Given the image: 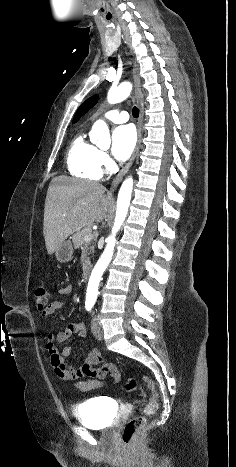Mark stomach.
Instances as JSON below:
<instances>
[{
    "label": "stomach",
    "mask_w": 236,
    "mask_h": 467,
    "mask_svg": "<svg viewBox=\"0 0 236 467\" xmlns=\"http://www.w3.org/2000/svg\"><path fill=\"white\" fill-rule=\"evenodd\" d=\"M73 251L71 241H63L55 250L56 259L61 263H66L71 260Z\"/></svg>",
    "instance_id": "1"
}]
</instances>
